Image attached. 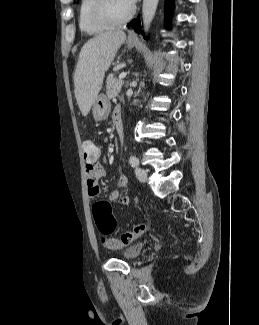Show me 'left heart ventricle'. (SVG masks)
<instances>
[{
    "label": "left heart ventricle",
    "mask_w": 259,
    "mask_h": 325,
    "mask_svg": "<svg viewBox=\"0 0 259 325\" xmlns=\"http://www.w3.org/2000/svg\"><path fill=\"white\" fill-rule=\"evenodd\" d=\"M131 5L125 0H109V8L116 17L124 16L130 9Z\"/></svg>",
    "instance_id": "1"
}]
</instances>
